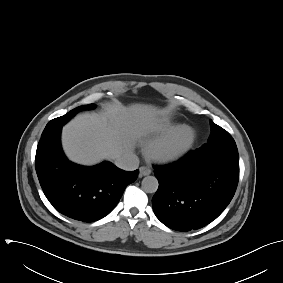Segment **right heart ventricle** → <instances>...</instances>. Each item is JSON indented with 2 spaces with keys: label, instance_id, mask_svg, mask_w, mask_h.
<instances>
[{
  "label": "right heart ventricle",
  "instance_id": "obj_1",
  "mask_svg": "<svg viewBox=\"0 0 283 283\" xmlns=\"http://www.w3.org/2000/svg\"><path fill=\"white\" fill-rule=\"evenodd\" d=\"M178 127H179L178 124L171 123V122H166V123H163L159 127L158 131H159V133L164 134L166 136L169 133H171L172 131H174L176 128H178Z\"/></svg>",
  "mask_w": 283,
  "mask_h": 283
}]
</instances>
